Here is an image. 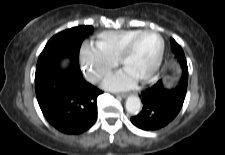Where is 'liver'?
Returning a JSON list of instances; mask_svg holds the SVG:
<instances>
[{"mask_svg":"<svg viewBox=\"0 0 225 155\" xmlns=\"http://www.w3.org/2000/svg\"><path fill=\"white\" fill-rule=\"evenodd\" d=\"M67 63V61H64V64H66Z\"/></svg>","mask_w":225,"mask_h":155,"instance_id":"obj_1","label":"liver"}]
</instances>
